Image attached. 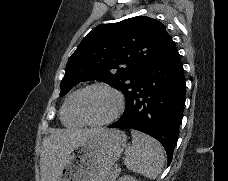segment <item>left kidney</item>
Wrapping results in <instances>:
<instances>
[{
	"instance_id": "left-kidney-1",
	"label": "left kidney",
	"mask_w": 228,
	"mask_h": 181,
	"mask_svg": "<svg viewBox=\"0 0 228 181\" xmlns=\"http://www.w3.org/2000/svg\"><path fill=\"white\" fill-rule=\"evenodd\" d=\"M119 181H135L134 177H130V175H124V177H121Z\"/></svg>"
}]
</instances>
